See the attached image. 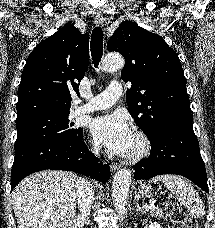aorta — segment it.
<instances>
[{"label":"aorta","instance_id":"obj_1","mask_svg":"<svg viewBox=\"0 0 215 228\" xmlns=\"http://www.w3.org/2000/svg\"><path fill=\"white\" fill-rule=\"evenodd\" d=\"M125 60L120 54H108L104 60L101 70L114 72L124 68ZM132 182V172L130 170H118L112 182V198L118 214L125 212L127 200L129 198L130 184Z\"/></svg>","mask_w":215,"mask_h":228}]
</instances>
